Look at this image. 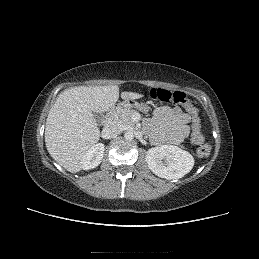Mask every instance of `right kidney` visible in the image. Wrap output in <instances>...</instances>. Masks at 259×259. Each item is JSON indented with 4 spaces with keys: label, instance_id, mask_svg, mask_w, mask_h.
Here are the masks:
<instances>
[{
    "label": "right kidney",
    "instance_id": "1",
    "mask_svg": "<svg viewBox=\"0 0 259 259\" xmlns=\"http://www.w3.org/2000/svg\"><path fill=\"white\" fill-rule=\"evenodd\" d=\"M105 146L102 143L94 144L85 154L82 160V169L96 168L102 161Z\"/></svg>",
    "mask_w": 259,
    "mask_h": 259
}]
</instances>
